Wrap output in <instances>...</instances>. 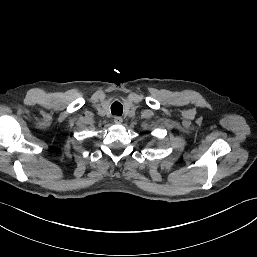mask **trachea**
<instances>
[{
    "mask_svg": "<svg viewBox=\"0 0 257 257\" xmlns=\"http://www.w3.org/2000/svg\"><path fill=\"white\" fill-rule=\"evenodd\" d=\"M111 113L113 115H118V116H121L122 113H123V106L121 103L119 102H114L112 105H111Z\"/></svg>",
    "mask_w": 257,
    "mask_h": 257,
    "instance_id": "obj_1",
    "label": "trachea"
}]
</instances>
